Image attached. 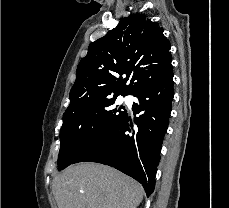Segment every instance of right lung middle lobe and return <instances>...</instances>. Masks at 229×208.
Instances as JSON below:
<instances>
[{"label":"right lung middle lobe","mask_w":229,"mask_h":208,"mask_svg":"<svg viewBox=\"0 0 229 208\" xmlns=\"http://www.w3.org/2000/svg\"><path fill=\"white\" fill-rule=\"evenodd\" d=\"M116 98L101 100L63 118L57 162L59 170L72 164L86 148L118 124L126 111L115 105Z\"/></svg>","instance_id":"1"}]
</instances>
